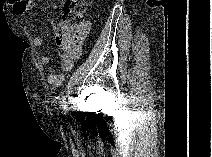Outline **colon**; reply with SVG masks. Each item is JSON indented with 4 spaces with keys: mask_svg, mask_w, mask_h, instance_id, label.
Wrapping results in <instances>:
<instances>
[{
    "mask_svg": "<svg viewBox=\"0 0 212 157\" xmlns=\"http://www.w3.org/2000/svg\"><path fill=\"white\" fill-rule=\"evenodd\" d=\"M86 4L80 0H67L63 5V18L68 30L59 34L57 43L60 46L74 51L75 44L80 39L81 29L84 25Z\"/></svg>",
    "mask_w": 212,
    "mask_h": 157,
    "instance_id": "obj_1",
    "label": "colon"
}]
</instances>
